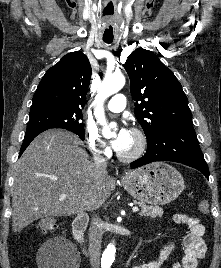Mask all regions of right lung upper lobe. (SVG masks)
Returning a JSON list of instances; mask_svg holds the SVG:
<instances>
[{"label":"right lung upper lobe","mask_w":221,"mask_h":268,"mask_svg":"<svg viewBox=\"0 0 221 268\" xmlns=\"http://www.w3.org/2000/svg\"><path fill=\"white\" fill-rule=\"evenodd\" d=\"M91 65L81 51L63 56L47 70L33 96L30 113L47 110L81 111L91 78Z\"/></svg>","instance_id":"cb5924a9"}]
</instances>
